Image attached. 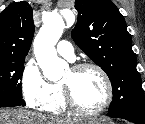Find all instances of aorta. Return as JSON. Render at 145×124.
<instances>
[{"label": "aorta", "mask_w": 145, "mask_h": 124, "mask_svg": "<svg viewBox=\"0 0 145 124\" xmlns=\"http://www.w3.org/2000/svg\"><path fill=\"white\" fill-rule=\"evenodd\" d=\"M43 21L44 24L34 39V54L44 77L50 81H56L63 77L68 67L66 61L57 56L55 49L65 23L56 13L48 14Z\"/></svg>", "instance_id": "1"}]
</instances>
